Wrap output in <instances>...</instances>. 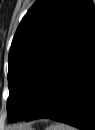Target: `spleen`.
Segmentation results:
<instances>
[{
  "label": "spleen",
  "instance_id": "3e777b00",
  "mask_svg": "<svg viewBox=\"0 0 95 130\" xmlns=\"http://www.w3.org/2000/svg\"><path fill=\"white\" fill-rule=\"evenodd\" d=\"M46 130H76L74 127L63 123H55L46 128Z\"/></svg>",
  "mask_w": 95,
  "mask_h": 130
}]
</instances>
